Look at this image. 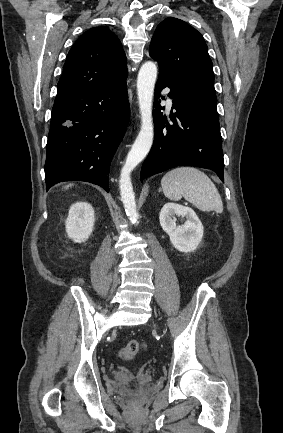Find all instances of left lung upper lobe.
Returning <instances> with one entry per match:
<instances>
[{
  "instance_id": "1",
  "label": "left lung upper lobe",
  "mask_w": 283,
  "mask_h": 433,
  "mask_svg": "<svg viewBox=\"0 0 283 433\" xmlns=\"http://www.w3.org/2000/svg\"><path fill=\"white\" fill-rule=\"evenodd\" d=\"M149 53L160 73L185 84L188 107L218 119L212 61L196 29L180 19L166 18L155 30Z\"/></svg>"
}]
</instances>
